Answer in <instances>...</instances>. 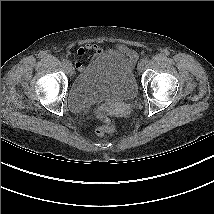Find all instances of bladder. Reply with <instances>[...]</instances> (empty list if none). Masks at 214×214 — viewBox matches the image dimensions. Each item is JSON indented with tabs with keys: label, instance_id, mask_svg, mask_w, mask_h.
<instances>
[{
	"label": "bladder",
	"instance_id": "obj_1",
	"mask_svg": "<svg viewBox=\"0 0 214 214\" xmlns=\"http://www.w3.org/2000/svg\"><path fill=\"white\" fill-rule=\"evenodd\" d=\"M137 95L131 63L117 51L102 53L71 84L69 107L76 112L110 100L128 101Z\"/></svg>",
	"mask_w": 214,
	"mask_h": 214
}]
</instances>
